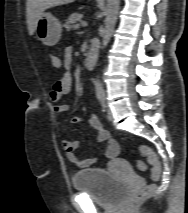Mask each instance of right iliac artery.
Instances as JSON below:
<instances>
[{"label":"right iliac artery","instance_id":"82829eb1","mask_svg":"<svg viewBox=\"0 0 188 213\" xmlns=\"http://www.w3.org/2000/svg\"><path fill=\"white\" fill-rule=\"evenodd\" d=\"M101 105H102L103 111H106V105H105L104 100H101Z\"/></svg>","mask_w":188,"mask_h":213}]
</instances>
